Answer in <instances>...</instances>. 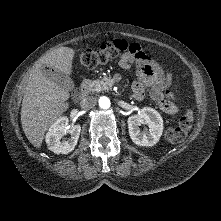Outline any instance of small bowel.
Listing matches in <instances>:
<instances>
[{
  "mask_svg": "<svg viewBox=\"0 0 221 221\" xmlns=\"http://www.w3.org/2000/svg\"><path fill=\"white\" fill-rule=\"evenodd\" d=\"M109 42L123 51L119 59L121 68L130 69L133 66L136 68L138 79L132 83L133 97L136 100H142L148 91L149 96L158 104L161 111L169 115L176 114L178 112L177 105L165 99V94L172 84L171 75L165 74L139 44L128 43L125 40Z\"/></svg>",
  "mask_w": 221,
  "mask_h": 221,
  "instance_id": "small-bowel-1",
  "label": "small bowel"
}]
</instances>
